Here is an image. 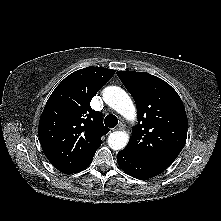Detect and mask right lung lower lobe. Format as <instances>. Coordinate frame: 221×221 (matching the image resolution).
I'll return each instance as SVG.
<instances>
[{"label": "right lung lower lobe", "mask_w": 221, "mask_h": 221, "mask_svg": "<svg viewBox=\"0 0 221 221\" xmlns=\"http://www.w3.org/2000/svg\"><path fill=\"white\" fill-rule=\"evenodd\" d=\"M91 162H92V159L86 165H84L81 169H79L77 172L84 170L86 167H88L91 164Z\"/></svg>", "instance_id": "1"}]
</instances>
